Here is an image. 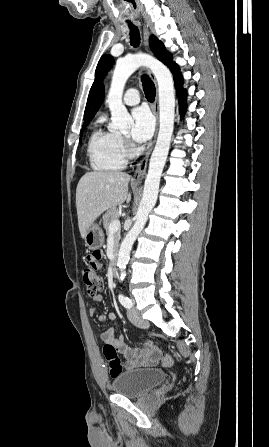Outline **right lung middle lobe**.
Masks as SVG:
<instances>
[{"label": "right lung middle lobe", "mask_w": 269, "mask_h": 447, "mask_svg": "<svg viewBox=\"0 0 269 447\" xmlns=\"http://www.w3.org/2000/svg\"><path fill=\"white\" fill-rule=\"evenodd\" d=\"M86 126H87V125L83 126V129H84ZM80 136H82V132L80 133ZM80 142H81V139H80Z\"/></svg>", "instance_id": "right-lung-middle-lobe-1"}]
</instances>
